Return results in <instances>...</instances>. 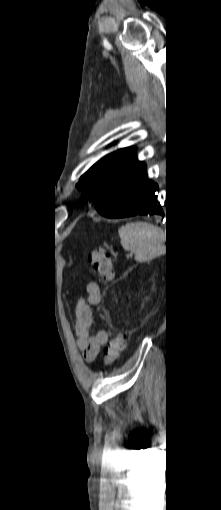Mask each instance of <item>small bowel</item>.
Segmentation results:
<instances>
[{
  "label": "small bowel",
  "instance_id": "obj_1",
  "mask_svg": "<svg viewBox=\"0 0 221 510\" xmlns=\"http://www.w3.org/2000/svg\"><path fill=\"white\" fill-rule=\"evenodd\" d=\"M87 300L81 299L75 310V329L77 344L86 362L95 360L100 347L107 344L109 335L103 328L97 329L91 336V327L94 323L92 306L97 305L101 299V290L97 283L90 282L86 288Z\"/></svg>",
  "mask_w": 221,
  "mask_h": 510
}]
</instances>
